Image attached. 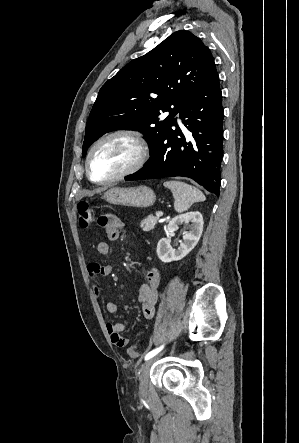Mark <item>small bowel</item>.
<instances>
[{"mask_svg":"<svg viewBox=\"0 0 299 443\" xmlns=\"http://www.w3.org/2000/svg\"><path fill=\"white\" fill-rule=\"evenodd\" d=\"M98 224L104 230L108 241L113 242L118 240L120 230L123 227V222L117 215L109 213L104 214L99 217ZM97 251L100 255H107L110 251L109 242H99L97 245ZM111 272L112 266L110 264H89L88 275L95 286L97 293L99 292L98 279L110 275ZM160 282V271L157 268H150L146 273V281L141 285L138 293V302L141 305L142 314L146 319H151L155 315ZM106 310L109 314L116 315L118 307L114 302L108 301L106 303ZM125 328V323L122 321L106 324V330L110 336L111 342L118 348H124L129 343V340L121 335Z\"/></svg>","mask_w":299,"mask_h":443,"instance_id":"c3829d8e","label":"small bowel"}]
</instances>
